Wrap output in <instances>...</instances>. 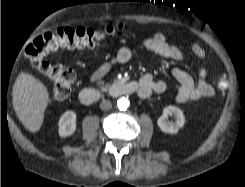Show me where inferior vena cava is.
I'll use <instances>...</instances> for the list:
<instances>
[{
  "label": "inferior vena cava",
  "instance_id": "obj_1",
  "mask_svg": "<svg viewBox=\"0 0 245 187\" xmlns=\"http://www.w3.org/2000/svg\"><path fill=\"white\" fill-rule=\"evenodd\" d=\"M100 108L102 111H108L112 108V103L111 101L109 100H103L101 103H100Z\"/></svg>",
  "mask_w": 245,
  "mask_h": 187
}]
</instances>
